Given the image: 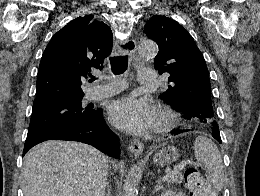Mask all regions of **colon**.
<instances>
[{"mask_svg": "<svg viewBox=\"0 0 260 196\" xmlns=\"http://www.w3.org/2000/svg\"><path fill=\"white\" fill-rule=\"evenodd\" d=\"M186 186L189 192H196L202 189L205 181L201 178L197 168L189 166L184 171Z\"/></svg>", "mask_w": 260, "mask_h": 196, "instance_id": "1", "label": "colon"}]
</instances>
